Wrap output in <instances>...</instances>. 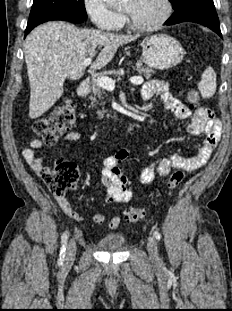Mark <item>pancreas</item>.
<instances>
[{
  "label": "pancreas",
  "mask_w": 232,
  "mask_h": 311,
  "mask_svg": "<svg viewBox=\"0 0 232 311\" xmlns=\"http://www.w3.org/2000/svg\"><path fill=\"white\" fill-rule=\"evenodd\" d=\"M134 70L140 74H143L147 79L152 75V73H155L151 68L143 67L141 61L137 62L136 66L134 67ZM91 87H92V94L89 96V99L91 101V106L95 107L99 100H102L104 99V97H107V93L105 89L102 88L96 81L92 82ZM101 105H104V103L102 102ZM103 114L104 111H98L99 118H102ZM109 116L110 115L108 114L107 117Z\"/></svg>",
  "instance_id": "pancreas-1"
}]
</instances>
